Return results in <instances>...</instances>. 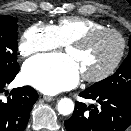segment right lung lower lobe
<instances>
[{"mask_svg":"<svg viewBox=\"0 0 131 131\" xmlns=\"http://www.w3.org/2000/svg\"><path fill=\"white\" fill-rule=\"evenodd\" d=\"M18 71L11 76L0 78V92L4 91L6 84L15 78ZM37 99V92L30 86H24L13 89L7 101L0 100V131H23Z\"/></svg>","mask_w":131,"mask_h":131,"instance_id":"obj_1","label":"right lung lower lobe"}]
</instances>
